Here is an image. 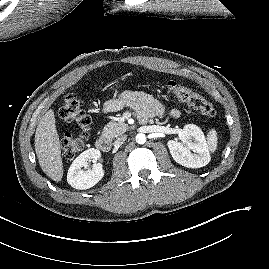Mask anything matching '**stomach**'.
Here are the masks:
<instances>
[{
	"label": "stomach",
	"instance_id": "1",
	"mask_svg": "<svg viewBox=\"0 0 269 269\" xmlns=\"http://www.w3.org/2000/svg\"><path fill=\"white\" fill-rule=\"evenodd\" d=\"M120 89V85H117L116 88H115V93H117Z\"/></svg>",
	"mask_w": 269,
	"mask_h": 269
}]
</instances>
